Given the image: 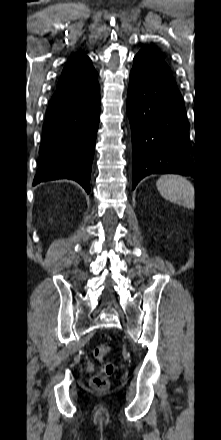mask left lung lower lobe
<instances>
[{
	"mask_svg": "<svg viewBox=\"0 0 221 440\" xmlns=\"http://www.w3.org/2000/svg\"><path fill=\"white\" fill-rule=\"evenodd\" d=\"M127 113L132 130L133 189L155 173L196 178L184 102L167 63L148 49L134 57Z\"/></svg>",
	"mask_w": 221,
	"mask_h": 440,
	"instance_id": "left-lung-lower-lobe-1",
	"label": "left lung lower lobe"
}]
</instances>
